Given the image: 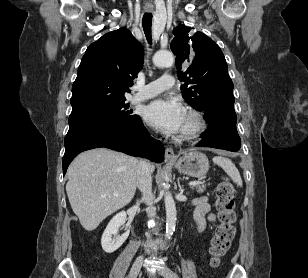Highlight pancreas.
<instances>
[{
    "label": "pancreas",
    "instance_id": "cf45deb5",
    "mask_svg": "<svg viewBox=\"0 0 308 278\" xmlns=\"http://www.w3.org/2000/svg\"><path fill=\"white\" fill-rule=\"evenodd\" d=\"M193 190L195 189L198 193H203L206 190V185L200 184L191 187Z\"/></svg>",
    "mask_w": 308,
    "mask_h": 278
}]
</instances>
